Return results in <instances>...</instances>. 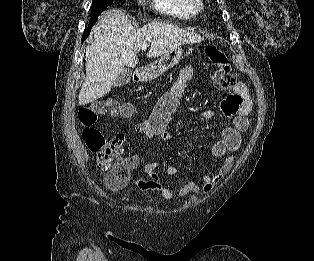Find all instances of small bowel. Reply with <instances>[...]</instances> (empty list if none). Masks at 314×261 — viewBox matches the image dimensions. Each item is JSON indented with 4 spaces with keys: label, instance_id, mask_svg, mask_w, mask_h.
I'll use <instances>...</instances> for the list:
<instances>
[{
    "label": "small bowel",
    "instance_id": "obj_1",
    "mask_svg": "<svg viewBox=\"0 0 314 261\" xmlns=\"http://www.w3.org/2000/svg\"><path fill=\"white\" fill-rule=\"evenodd\" d=\"M194 72L195 68L191 65H187L180 70L173 85L156 103L150 117L136 125L137 134L146 137L158 136L167 142L171 140L166 126ZM251 108L252 101L249 92L242 82H238L234 87L233 94L219 105L221 116L230 118L232 121L231 125L223 127L220 131L219 139L209 146L210 152L215 157L223 159L222 165L215 174L202 176L200 182L185 178L184 185L177 192L178 196L184 197L200 190L204 193H211L215 186L228 174L234 161L231 154L240 148L241 134L248 128L247 117L251 112ZM124 112L128 113L129 108L126 107ZM202 116L209 118L211 114L203 113ZM117 138L124 143L123 136H118ZM121 159L128 162L131 167H136L139 164L137 155L122 157ZM159 163V160H155L146 164L144 172L148 179H137L134 185L139 190L150 193L153 197L160 195L164 199H171L175 193L168 182L157 173L156 169ZM165 174L168 176H183L181 171L174 166L166 167Z\"/></svg>",
    "mask_w": 314,
    "mask_h": 261
}]
</instances>
